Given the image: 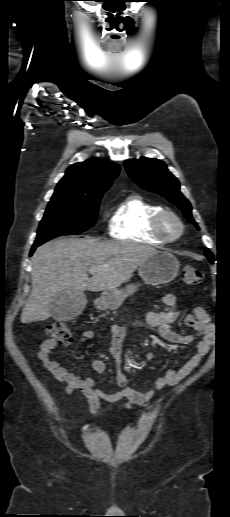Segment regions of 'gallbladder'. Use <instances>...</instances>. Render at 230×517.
Segmentation results:
<instances>
[{
  "instance_id": "bac80fb5",
  "label": "gallbladder",
  "mask_w": 230,
  "mask_h": 517,
  "mask_svg": "<svg viewBox=\"0 0 230 517\" xmlns=\"http://www.w3.org/2000/svg\"><path fill=\"white\" fill-rule=\"evenodd\" d=\"M86 302L83 292L71 289L58 292L50 302L51 316L57 321L74 319L82 313Z\"/></svg>"
}]
</instances>
